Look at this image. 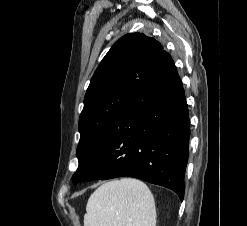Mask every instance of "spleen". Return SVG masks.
Here are the masks:
<instances>
[{
	"label": "spleen",
	"mask_w": 247,
	"mask_h": 226,
	"mask_svg": "<svg viewBox=\"0 0 247 226\" xmlns=\"http://www.w3.org/2000/svg\"><path fill=\"white\" fill-rule=\"evenodd\" d=\"M84 226H155L154 197L145 183L133 178L101 185L88 199Z\"/></svg>",
	"instance_id": "1"
}]
</instances>
